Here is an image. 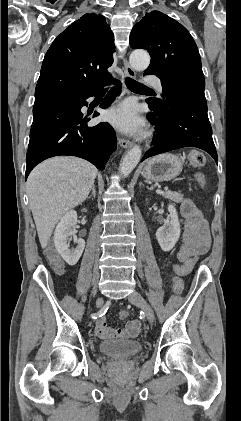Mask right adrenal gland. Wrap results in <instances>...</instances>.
<instances>
[{"instance_id": "obj_1", "label": "right adrenal gland", "mask_w": 241, "mask_h": 421, "mask_svg": "<svg viewBox=\"0 0 241 421\" xmlns=\"http://www.w3.org/2000/svg\"><path fill=\"white\" fill-rule=\"evenodd\" d=\"M95 196H96V188H95V185H93L92 186V192L87 198H91V197L95 198Z\"/></svg>"}]
</instances>
